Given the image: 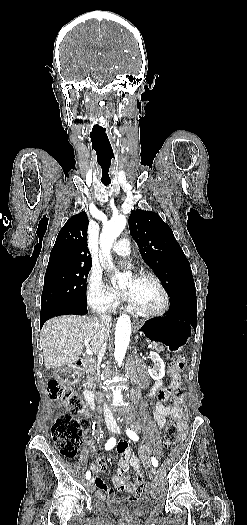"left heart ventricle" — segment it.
<instances>
[{
	"instance_id": "obj_1",
	"label": "left heart ventricle",
	"mask_w": 247,
	"mask_h": 525,
	"mask_svg": "<svg viewBox=\"0 0 247 525\" xmlns=\"http://www.w3.org/2000/svg\"><path fill=\"white\" fill-rule=\"evenodd\" d=\"M120 266L123 271H129L132 268L131 262L129 259H122ZM129 282L128 286L133 283L136 284L137 289L134 295L135 300H138L149 307H157L163 301V294L155 284V282L150 278H137L132 279V277L127 280Z\"/></svg>"
}]
</instances>
